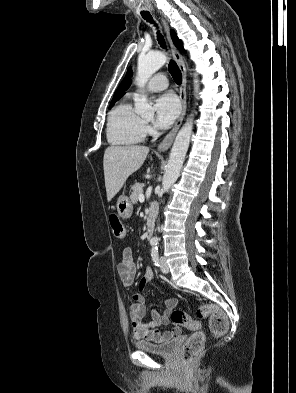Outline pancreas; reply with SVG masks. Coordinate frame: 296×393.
<instances>
[{"instance_id": "pancreas-1", "label": "pancreas", "mask_w": 296, "mask_h": 393, "mask_svg": "<svg viewBox=\"0 0 296 393\" xmlns=\"http://www.w3.org/2000/svg\"><path fill=\"white\" fill-rule=\"evenodd\" d=\"M143 186L144 185L141 184V183H136L132 187V192H131V195H130V199H131V202L133 204H137L138 199H139V195L142 194V192H143Z\"/></svg>"}]
</instances>
